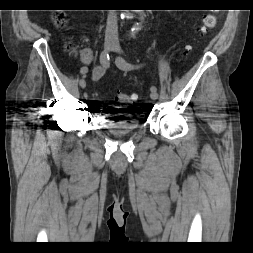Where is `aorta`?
I'll list each match as a JSON object with an SVG mask.
<instances>
[{
    "label": "aorta",
    "mask_w": 253,
    "mask_h": 253,
    "mask_svg": "<svg viewBox=\"0 0 253 253\" xmlns=\"http://www.w3.org/2000/svg\"><path fill=\"white\" fill-rule=\"evenodd\" d=\"M140 15H141V20H143L144 19V17H145V15L142 13V10H140ZM141 29V24H137V25H135L134 27H133V31L134 32H137V31H139Z\"/></svg>",
    "instance_id": "obj_1"
}]
</instances>
